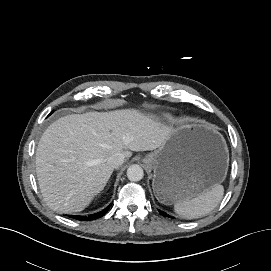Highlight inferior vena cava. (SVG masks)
Wrapping results in <instances>:
<instances>
[{
  "instance_id": "obj_1",
  "label": "inferior vena cava",
  "mask_w": 271,
  "mask_h": 271,
  "mask_svg": "<svg viewBox=\"0 0 271 271\" xmlns=\"http://www.w3.org/2000/svg\"><path fill=\"white\" fill-rule=\"evenodd\" d=\"M124 155L123 154H114L111 157H109L108 159V164L112 167V168H118L119 166H121L124 162Z\"/></svg>"
}]
</instances>
